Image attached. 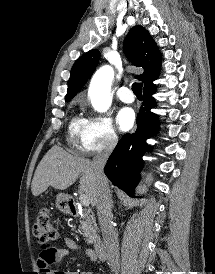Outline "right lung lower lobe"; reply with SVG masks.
Here are the masks:
<instances>
[{
    "label": "right lung lower lobe",
    "instance_id": "right-lung-lower-lobe-1",
    "mask_svg": "<svg viewBox=\"0 0 215 274\" xmlns=\"http://www.w3.org/2000/svg\"><path fill=\"white\" fill-rule=\"evenodd\" d=\"M155 92L156 86L144 87L143 105L136 121L137 130L121 138L104 168L110 181L132 197L139 181L142 156L149 149L145 141L158 129V117L151 112L156 106L152 97Z\"/></svg>",
    "mask_w": 215,
    "mask_h": 274
}]
</instances>
